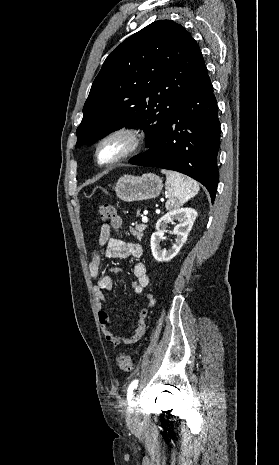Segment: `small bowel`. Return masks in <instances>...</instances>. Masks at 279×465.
<instances>
[{
  "label": "small bowel",
  "mask_w": 279,
  "mask_h": 465,
  "mask_svg": "<svg viewBox=\"0 0 279 465\" xmlns=\"http://www.w3.org/2000/svg\"><path fill=\"white\" fill-rule=\"evenodd\" d=\"M101 250H103L106 258L126 259L129 257L140 258L143 254V249L137 242H125L119 238L112 237L110 226L108 224H103L100 228L98 248L93 250L89 261V273L91 278L95 281L93 292L98 309V319L104 338L114 348L121 343L131 345L137 342L145 331L148 309L142 308L139 312L131 336H120L111 330L109 327L108 312L103 308V305H107L104 291L113 288L114 279L112 274L118 273L120 270L116 267H110L107 269L106 273L101 272ZM133 274L136 278L132 283L133 291L136 294H141L144 289L148 287L150 282L145 264L141 261L136 262L133 266ZM154 301V296L152 294H146V303L148 307L153 306Z\"/></svg>",
  "instance_id": "c3829d8e"
}]
</instances>
